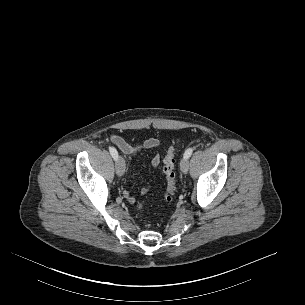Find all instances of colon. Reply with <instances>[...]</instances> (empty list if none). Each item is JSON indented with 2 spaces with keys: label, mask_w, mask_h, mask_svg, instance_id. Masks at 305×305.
Instances as JSON below:
<instances>
[{
  "label": "colon",
  "mask_w": 305,
  "mask_h": 305,
  "mask_svg": "<svg viewBox=\"0 0 305 305\" xmlns=\"http://www.w3.org/2000/svg\"><path fill=\"white\" fill-rule=\"evenodd\" d=\"M175 151L176 144L169 147L166 156L163 160V172L167 183V190L163 200L167 203L172 201L173 196L176 192ZM138 208L141 209L142 206L139 204Z\"/></svg>",
  "instance_id": "colon-1"
}]
</instances>
